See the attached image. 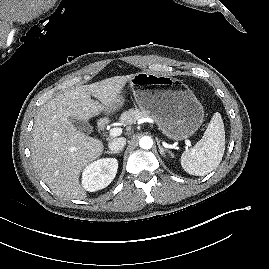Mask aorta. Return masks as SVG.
<instances>
[{"instance_id": "1", "label": "aorta", "mask_w": 269, "mask_h": 269, "mask_svg": "<svg viewBox=\"0 0 269 269\" xmlns=\"http://www.w3.org/2000/svg\"><path fill=\"white\" fill-rule=\"evenodd\" d=\"M152 145H153V140L149 136H143L139 140V146L142 149L148 150L152 147Z\"/></svg>"}]
</instances>
